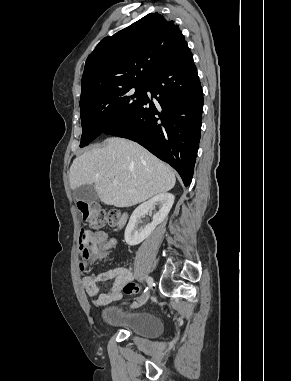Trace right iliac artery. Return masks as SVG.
I'll return each instance as SVG.
<instances>
[{
	"instance_id": "obj_1",
	"label": "right iliac artery",
	"mask_w": 291,
	"mask_h": 381,
	"mask_svg": "<svg viewBox=\"0 0 291 381\" xmlns=\"http://www.w3.org/2000/svg\"><path fill=\"white\" fill-rule=\"evenodd\" d=\"M147 283H148L149 287H152L154 285L153 279L151 277L147 278ZM147 290H148V287L144 290V292H146Z\"/></svg>"
}]
</instances>
